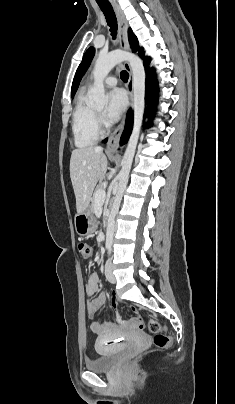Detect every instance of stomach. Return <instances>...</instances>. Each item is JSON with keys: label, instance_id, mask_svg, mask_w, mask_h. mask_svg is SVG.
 <instances>
[{"label": "stomach", "instance_id": "1", "mask_svg": "<svg viewBox=\"0 0 235 404\" xmlns=\"http://www.w3.org/2000/svg\"><path fill=\"white\" fill-rule=\"evenodd\" d=\"M75 230L79 236H87L96 229V220L92 209L88 207L85 211L77 213L74 218Z\"/></svg>", "mask_w": 235, "mask_h": 404}]
</instances>
